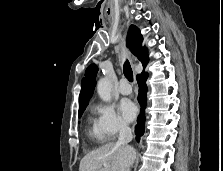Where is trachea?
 I'll return each mask as SVG.
<instances>
[{
  "instance_id": "obj_1",
  "label": "trachea",
  "mask_w": 223,
  "mask_h": 171,
  "mask_svg": "<svg viewBox=\"0 0 223 171\" xmlns=\"http://www.w3.org/2000/svg\"><path fill=\"white\" fill-rule=\"evenodd\" d=\"M123 73L125 77L130 81L133 82V71L131 68V65L128 60L125 61L124 66H123Z\"/></svg>"
}]
</instances>
